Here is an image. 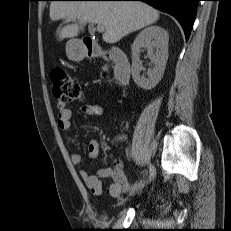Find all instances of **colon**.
Wrapping results in <instances>:
<instances>
[{
  "instance_id": "colon-1",
  "label": "colon",
  "mask_w": 231,
  "mask_h": 231,
  "mask_svg": "<svg viewBox=\"0 0 231 231\" xmlns=\"http://www.w3.org/2000/svg\"><path fill=\"white\" fill-rule=\"evenodd\" d=\"M53 93L60 104L72 103L82 98V88L64 69L51 71Z\"/></svg>"
}]
</instances>
